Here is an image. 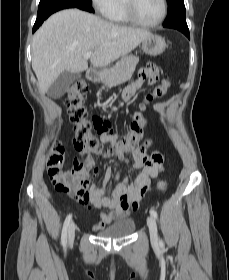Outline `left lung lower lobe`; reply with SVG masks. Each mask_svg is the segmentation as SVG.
Here are the masks:
<instances>
[{
    "label": "left lung lower lobe",
    "instance_id": "0a47b994",
    "mask_svg": "<svg viewBox=\"0 0 229 280\" xmlns=\"http://www.w3.org/2000/svg\"><path fill=\"white\" fill-rule=\"evenodd\" d=\"M164 27L177 29V30L181 31L183 34H185L190 39L189 29H188L186 21L175 22V23H172V24L164 26Z\"/></svg>",
    "mask_w": 229,
    "mask_h": 280
}]
</instances>
